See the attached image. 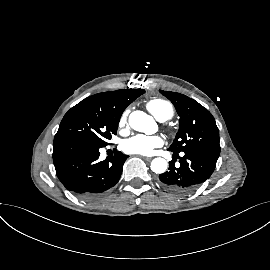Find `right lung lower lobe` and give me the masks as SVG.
<instances>
[{
	"mask_svg": "<svg viewBox=\"0 0 270 270\" xmlns=\"http://www.w3.org/2000/svg\"><path fill=\"white\" fill-rule=\"evenodd\" d=\"M78 138L54 139L53 162L56 174L66 189L75 195L91 199L113 187L120 179L128 158L117 152L99 161V149Z\"/></svg>",
	"mask_w": 270,
	"mask_h": 270,
	"instance_id": "obj_1",
	"label": "right lung lower lobe"
}]
</instances>
